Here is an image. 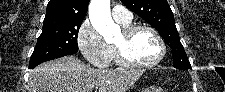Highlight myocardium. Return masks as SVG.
Returning a JSON list of instances; mask_svg holds the SVG:
<instances>
[{"mask_svg": "<svg viewBox=\"0 0 225 92\" xmlns=\"http://www.w3.org/2000/svg\"><path fill=\"white\" fill-rule=\"evenodd\" d=\"M140 30H147L151 32L155 37V39L157 40L160 48L158 57L154 61L149 63H139L131 59L126 52V45L129 43L133 35ZM123 35H124V43L122 45L115 44V50L120 65L132 69H147L158 65L164 59L166 54V45L162 36L154 27L147 24L129 25L128 27L124 28Z\"/></svg>", "mask_w": 225, "mask_h": 92, "instance_id": "1", "label": "myocardium"}]
</instances>
